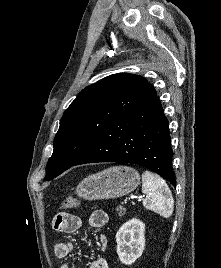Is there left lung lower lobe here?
Segmentation results:
<instances>
[{
  "label": "left lung lower lobe",
  "instance_id": "1",
  "mask_svg": "<svg viewBox=\"0 0 221 268\" xmlns=\"http://www.w3.org/2000/svg\"><path fill=\"white\" fill-rule=\"evenodd\" d=\"M172 156L168 120L155 96L112 122L74 165L138 164L158 173L175 187Z\"/></svg>",
  "mask_w": 221,
  "mask_h": 268
}]
</instances>
